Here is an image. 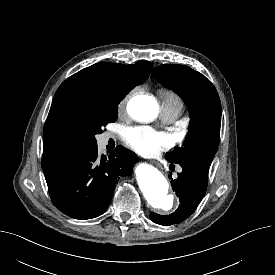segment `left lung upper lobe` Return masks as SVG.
I'll use <instances>...</instances> for the list:
<instances>
[{
    "label": "left lung upper lobe",
    "mask_w": 275,
    "mask_h": 275,
    "mask_svg": "<svg viewBox=\"0 0 275 275\" xmlns=\"http://www.w3.org/2000/svg\"><path fill=\"white\" fill-rule=\"evenodd\" d=\"M155 79L185 102L189 133L181 145L166 156L171 163L199 161L211 165L220 140L221 102L214 85L188 66L163 64L153 70Z\"/></svg>",
    "instance_id": "1"
}]
</instances>
